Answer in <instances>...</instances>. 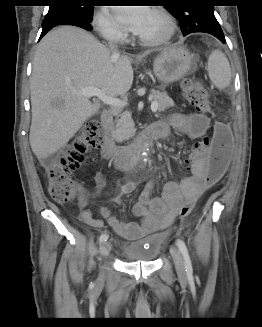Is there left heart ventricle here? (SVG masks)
<instances>
[{"mask_svg":"<svg viewBox=\"0 0 262 327\" xmlns=\"http://www.w3.org/2000/svg\"><path fill=\"white\" fill-rule=\"evenodd\" d=\"M164 32V23L154 12L151 11L142 29L138 32V35L144 37H159Z\"/></svg>","mask_w":262,"mask_h":327,"instance_id":"b2bd125f","label":"left heart ventricle"}]
</instances>
